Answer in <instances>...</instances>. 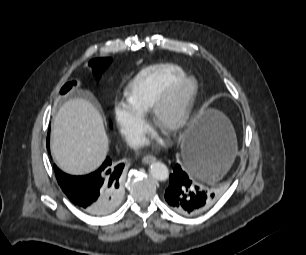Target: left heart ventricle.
Returning <instances> with one entry per match:
<instances>
[{
  "mask_svg": "<svg viewBox=\"0 0 306 255\" xmlns=\"http://www.w3.org/2000/svg\"><path fill=\"white\" fill-rule=\"evenodd\" d=\"M173 113H174V112H173V109L168 110V111L164 114V116H163V121H164V122L169 121V120L172 118Z\"/></svg>",
  "mask_w": 306,
  "mask_h": 255,
  "instance_id": "1",
  "label": "left heart ventricle"
}]
</instances>
